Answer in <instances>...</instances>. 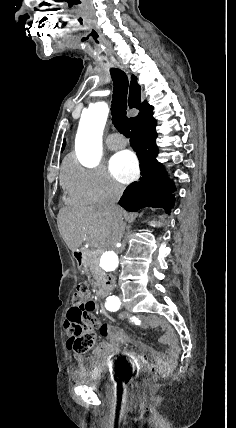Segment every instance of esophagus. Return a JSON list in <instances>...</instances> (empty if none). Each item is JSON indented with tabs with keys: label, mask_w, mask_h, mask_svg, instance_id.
I'll use <instances>...</instances> for the list:
<instances>
[{
	"label": "esophagus",
	"mask_w": 236,
	"mask_h": 428,
	"mask_svg": "<svg viewBox=\"0 0 236 428\" xmlns=\"http://www.w3.org/2000/svg\"><path fill=\"white\" fill-rule=\"evenodd\" d=\"M118 64V63H117ZM122 68L124 69V70H126V67L125 66H122Z\"/></svg>",
	"instance_id": "obj_1"
}]
</instances>
